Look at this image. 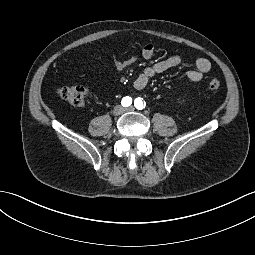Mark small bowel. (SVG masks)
<instances>
[{
    "instance_id": "c3829d8e",
    "label": "small bowel",
    "mask_w": 255,
    "mask_h": 255,
    "mask_svg": "<svg viewBox=\"0 0 255 255\" xmlns=\"http://www.w3.org/2000/svg\"><path fill=\"white\" fill-rule=\"evenodd\" d=\"M155 54V47L152 44H146L141 52V55L144 59L149 60L153 58ZM136 61L135 57H131L126 61H116L115 67L118 70H124L130 65H132ZM183 62V58L180 55H172L166 59L157 61L147 67H145L142 72L135 78L133 81V86L136 90L140 91L146 88V86L150 83L152 78L156 75H159L169 69L177 67L181 65ZM193 64L195 66L194 69L189 70L186 73V77L188 80L192 82L200 81L204 74L211 70V62L207 58L197 57L193 60Z\"/></svg>"
}]
</instances>
